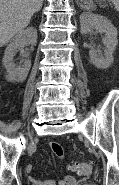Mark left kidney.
<instances>
[{
	"label": "left kidney",
	"mask_w": 119,
	"mask_h": 185,
	"mask_svg": "<svg viewBox=\"0 0 119 185\" xmlns=\"http://www.w3.org/2000/svg\"><path fill=\"white\" fill-rule=\"evenodd\" d=\"M95 29L103 34L102 42L105 45L104 54L95 49L89 51L91 63L99 69H107L113 63V52L117 46V29L106 17L84 12L80 15V32L86 35Z\"/></svg>",
	"instance_id": "1"
}]
</instances>
